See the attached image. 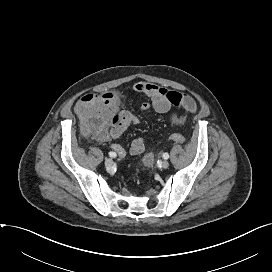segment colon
Returning <instances> with one entry per match:
<instances>
[{
	"label": "colon",
	"mask_w": 272,
	"mask_h": 272,
	"mask_svg": "<svg viewBox=\"0 0 272 272\" xmlns=\"http://www.w3.org/2000/svg\"><path fill=\"white\" fill-rule=\"evenodd\" d=\"M76 112L81 118L84 128L98 136L103 134L108 125L120 122L121 114L116 111V98L113 93L85 94L75 106ZM169 140L174 143H184L185 137L181 134H172ZM153 162V155L147 154L143 158V164L150 166Z\"/></svg>",
	"instance_id": "colon-1"
}]
</instances>
